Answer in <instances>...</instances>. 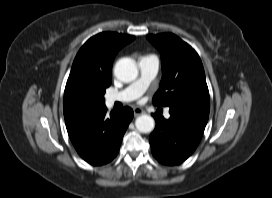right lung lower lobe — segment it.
<instances>
[{
  "label": "right lung lower lobe",
  "mask_w": 272,
  "mask_h": 198,
  "mask_svg": "<svg viewBox=\"0 0 272 198\" xmlns=\"http://www.w3.org/2000/svg\"><path fill=\"white\" fill-rule=\"evenodd\" d=\"M106 107L68 126V135L78 154L91 165L112 161L123 135L133 118V110L124 107L108 116Z\"/></svg>",
  "instance_id": "98d812e1"
}]
</instances>
